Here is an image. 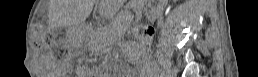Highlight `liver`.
Segmentation results:
<instances>
[{"label": "liver", "mask_w": 258, "mask_h": 77, "mask_svg": "<svg viewBox=\"0 0 258 77\" xmlns=\"http://www.w3.org/2000/svg\"><path fill=\"white\" fill-rule=\"evenodd\" d=\"M65 18L69 19V22L74 23L76 19L75 8L74 9L72 8L71 10L67 11L65 14Z\"/></svg>", "instance_id": "1"}]
</instances>
